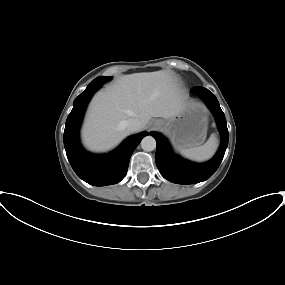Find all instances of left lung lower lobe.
I'll return each instance as SVG.
<instances>
[{"label":"left lung lower lobe","mask_w":285,"mask_h":285,"mask_svg":"<svg viewBox=\"0 0 285 285\" xmlns=\"http://www.w3.org/2000/svg\"><path fill=\"white\" fill-rule=\"evenodd\" d=\"M216 118L222 137L220 148L215 157L207 163L196 164L175 156L166 139L157 132H151L156 139V165L161 175L177 184H194L208 179L218 169L228 146V129L223 111L215 95L203 87H193Z\"/></svg>","instance_id":"obj_1"}]
</instances>
